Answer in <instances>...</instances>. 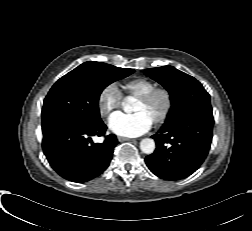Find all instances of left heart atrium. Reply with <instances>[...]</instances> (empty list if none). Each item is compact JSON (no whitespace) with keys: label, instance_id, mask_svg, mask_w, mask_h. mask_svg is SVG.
I'll return each mask as SVG.
<instances>
[{"label":"left heart atrium","instance_id":"39dd6f15","mask_svg":"<svg viewBox=\"0 0 252 231\" xmlns=\"http://www.w3.org/2000/svg\"><path fill=\"white\" fill-rule=\"evenodd\" d=\"M153 121L143 112L117 113L109 120V129L122 137H138L148 132Z\"/></svg>","mask_w":252,"mask_h":231}]
</instances>
